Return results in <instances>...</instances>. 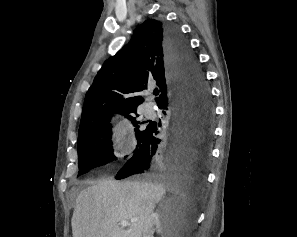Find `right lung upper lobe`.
<instances>
[{
    "label": "right lung upper lobe",
    "instance_id": "right-lung-upper-lobe-1",
    "mask_svg": "<svg viewBox=\"0 0 297 237\" xmlns=\"http://www.w3.org/2000/svg\"><path fill=\"white\" fill-rule=\"evenodd\" d=\"M156 81L160 104L172 88L165 50V23L148 19L139 25L129 44L111 56L97 73L89 88L82 110L79 133L111 118L114 113L136 112L143 102L136 92Z\"/></svg>",
    "mask_w": 297,
    "mask_h": 237
}]
</instances>
